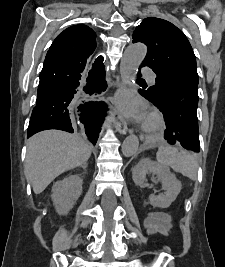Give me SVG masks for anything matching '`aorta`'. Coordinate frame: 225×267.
Segmentation results:
<instances>
[{
  "mask_svg": "<svg viewBox=\"0 0 225 267\" xmlns=\"http://www.w3.org/2000/svg\"><path fill=\"white\" fill-rule=\"evenodd\" d=\"M146 53L147 47L143 43L131 44L126 48L120 63V74L125 84H131L134 81ZM138 148V138L134 135L128 136L122 144V154L125 157H132L137 153Z\"/></svg>",
  "mask_w": 225,
  "mask_h": 267,
  "instance_id": "762f6f07",
  "label": "aorta"
}]
</instances>
